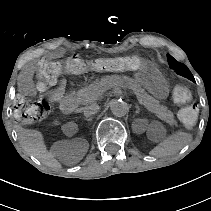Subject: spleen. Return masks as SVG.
Instances as JSON below:
<instances>
[{
  "label": "spleen",
  "instance_id": "spleen-1",
  "mask_svg": "<svg viewBox=\"0 0 211 211\" xmlns=\"http://www.w3.org/2000/svg\"><path fill=\"white\" fill-rule=\"evenodd\" d=\"M193 140V135L184 131H177L164 138L153 149L149 151V155L161 158L171 156L180 151L184 146Z\"/></svg>",
  "mask_w": 211,
  "mask_h": 211
}]
</instances>
